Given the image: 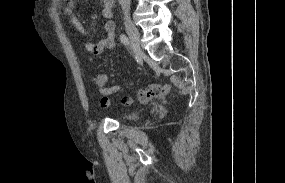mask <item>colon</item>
Listing matches in <instances>:
<instances>
[{"mask_svg":"<svg viewBox=\"0 0 285 183\" xmlns=\"http://www.w3.org/2000/svg\"><path fill=\"white\" fill-rule=\"evenodd\" d=\"M124 102H125L126 104H132L133 99H131V98H129V97H126V98L124 99Z\"/></svg>","mask_w":285,"mask_h":183,"instance_id":"obj_1","label":"colon"}]
</instances>
